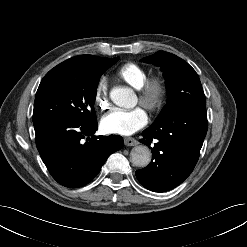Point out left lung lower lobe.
Instances as JSON below:
<instances>
[{
    "label": "left lung lower lobe",
    "mask_w": 247,
    "mask_h": 247,
    "mask_svg": "<svg viewBox=\"0 0 247 247\" xmlns=\"http://www.w3.org/2000/svg\"><path fill=\"white\" fill-rule=\"evenodd\" d=\"M206 109H192L151 125L139 141L151 146V163L136 171L139 182L154 192L181 184L193 171L207 133Z\"/></svg>",
    "instance_id": "obj_1"
}]
</instances>
